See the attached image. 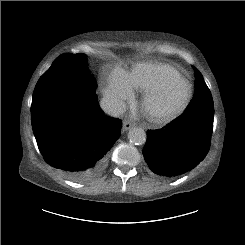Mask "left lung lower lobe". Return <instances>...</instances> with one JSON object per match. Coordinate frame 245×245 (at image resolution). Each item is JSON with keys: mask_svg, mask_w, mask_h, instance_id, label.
Here are the masks:
<instances>
[{"mask_svg": "<svg viewBox=\"0 0 245 245\" xmlns=\"http://www.w3.org/2000/svg\"><path fill=\"white\" fill-rule=\"evenodd\" d=\"M195 103L198 107L187 110L164 128L148 130L143 149L151 171L159 176L173 178L197 166L207 155L213 133L214 104L207 99V87L198 83ZM198 97V98H197ZM202 98V99H200Z\"/></svg>", "mask_w": 245, "mask_h": 245, "instance_id": "obj_1", "label": "left lung lower lobe"}]
</instances>
